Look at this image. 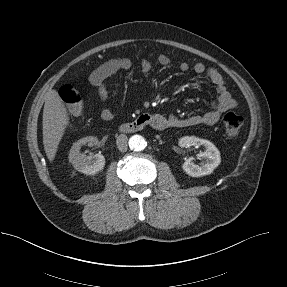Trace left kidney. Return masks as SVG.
Segmentation results:
<instances>
[{
    "label": "left kidney",
    "instance_id": "1",
    "mask_svg": "<svg viewBox=\"0 0 287 287\" xmlns=\"http://www.w3.org/2000/svg\"><path fill=\"white\" fill-rule=\"evenodd\" d=\"M191 144L205 147V151L198 154L205 161L197 165L193 162V158L186 159L182 165L184 172L191 177H201L211 174L221 163L219 150L212 142L195 136H185L179 140L180 147H187Z\"/></svg>",
    "mask_w": 287,
    "mask_h": 287
}]
</instances>
